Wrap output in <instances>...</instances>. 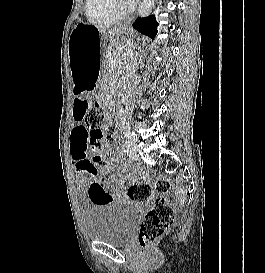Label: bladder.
I'll return each instance as SVG.
<instances>
[{"instance_id":"obj_1","label":"bladder","mask_w":265,"mask_h":273,"mask_svg":"<svg viewBox=\"0 0 265 273\" xmlns=\"http://www.w3.org/2000/svg\"><path fill=\"white\" fill-rule=\"evenodd\" d=\"M138 209L125 203H101L86 209L81 216L85 236L90 241L113 246L127 244L138 222Z\"/></svg>"}]
</instances>
